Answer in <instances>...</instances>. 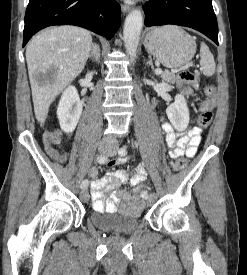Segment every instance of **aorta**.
Here are the masks:
<instances>
[{
	"mask_svg": "<svg viewBox=\"0 0 247 275\" xmlns=\"http://www.w3.org/2000/svg\"><path fill=\"white\" fill-rule=\"evenodd\" d=\"M142 26L143 16L141 11H131L125 19L123 29L126 52L131 58L136 57Z\"/></svg>",
	"mask_w": 247,
	"mask_h": 275,
	"instance_id": "obj_1",
	"label": "aorta"
}]
</instances>
